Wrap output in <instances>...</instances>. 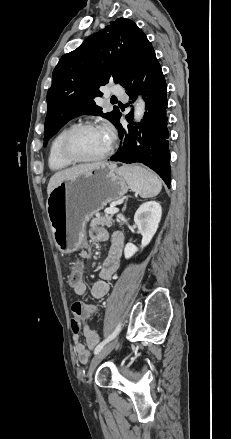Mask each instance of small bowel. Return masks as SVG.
Wrapping results in <instances>:
<instances>
[{"mask_svg": "<svg viewBox=\"0 0 231 439\" xmlns=\"http://www.w3.org/2000/svg\"><path fill=\"white\" fill-rule=\"evenodd\" d=\"M90 239L94 244L110 241L111 247L107 258L104 260L100 271V279L93 285L91 294L95 299L103 298L109 291L108 282L112 279L119 268L120 258L123 252L124 237L120 232L109 234L104 228L94 227L90 230ZM89 252H83L80 262L89 258ZM84 279V278H83ZM88 283H77L75 286V294L78 298H87L89 291ZM99 307L95 304H86L76 302L72 305L73 317H76L80 323H83L82 331L86 340V345L80 340L79 334H73V346L78 356V360L86 364L89 360L90 350H92L99 342V335L90 328L87 320L91 315L97 313Z\"/></svg>", "mask_w": 231, "mask_h": 439, "instance_id": "obj_1", "label": "small bowel"}]
</instances>
